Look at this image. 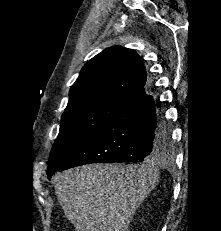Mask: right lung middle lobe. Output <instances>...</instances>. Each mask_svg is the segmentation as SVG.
Returning a JSON list of instances; mask_svg holds the SVG:
<instances>
[{
    "mask_svg": "<svg viewBox=\"0 0 221 231\" xmlns=\"http://www.w3.org/2000/svg\"><path fill=\"white\" fill-rule=\"evenodd\" d=\"M130 102L125 98L98 96L67 106L61 117L59 135L50 152L47 173L60 167L89 141L110 117Z\"/></svg>",
    "mask_w": 221,
    "mask_h": 231,
    "instance_id": "dd1d6c3e",
    "label": "right lung middle lobe"
}]
</instances>
